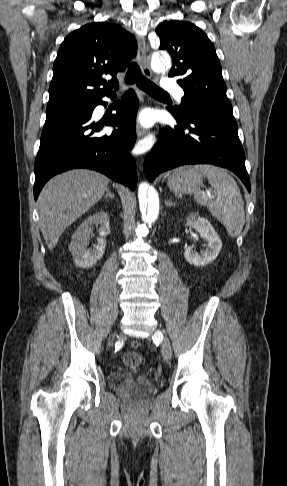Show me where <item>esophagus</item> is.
<instances>
[{
  "label": "esophagus",
  "mask_w": 287,
  "mask_h": 486,
  "mask_svg": "<svg viewBox=\"0 0 287 486\" xmlns=\"http://www.w3.org/2000/svg\"><path fill=\"white\" fill-rule=\"evenodd\" d=\"M138 42V49H139V62L140 66L142 69L143 74L151 78L152 77V72L148 66L147 59H146V43L145 39L143 37H138L137 38ZM146 135V131L142 127H137V136L138 138H141Z\"/></svg>",
  "instance_id": "34e87169"
}]
</instances>
